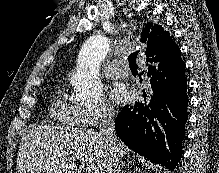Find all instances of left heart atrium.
<instances>
[{"label": "left heart atrium", "mask_w": 219, "mask_h": 173, "mask_svg": "<svg viewBox=\"0 0 219 173\" xmlns=\"http://www.w3.org/2000/svg\"><path fill=\"white\" fill-rule=\"evenodd\" d=\"M127 92L123 84L115 83L112 85L110 90V97L113 102L120 103L125 100Z\"/></svg>", "instance_id": "left-heart-atrium-1"}]
</instances>
